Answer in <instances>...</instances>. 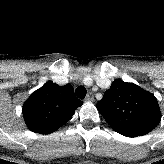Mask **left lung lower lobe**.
Here are the masks:
<instances>
[{"instance_id":"left-lung-lower-lobe-1","label":"left lung lower lobe","mask_w":164,"mask_h":164,"mask_svg":"<svg viewBox=\"0 0 164 164\" xmlns=\"http://www.w3.org/2000/svg\"><path fill=\"white\" fill-rule=\"evenodd\" d=\"M122 135L127 136V137H136L134 135H126V134H122Z\"/></svg>"}]
</instances>
